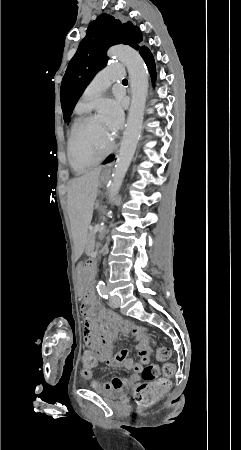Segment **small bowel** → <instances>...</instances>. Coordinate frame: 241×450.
Listing matches in <instances>:
<instances>
[{
    "mask_svg": "<svg viewBox=\"0 0 241 450\" xmlns=\"http://www.w3.org/2000/svg\"><path fill=\"white\" fill-rule=\"evenodd\" d=\"M94 301L92 298H84L81 305L83 317H85L84 343L86 347H93L94 355H97L98 362H102L109 367L123 366L133 373L128 377H113L103 383H92L94 388H102L106 391L118 390L127 386L138 384L142 379V372L148 366L151 353V336L147 327L135 324L131 321H122L119 329L110 326L107 329L105 324H97L98 318L90 316V307ZM95 325V326H94ZM129 333L135 336L137 341L136 350L138 361L134 362L129 358V349L124 348L119 353L112 356L113 344L118 333ZM82 376L89 380L92 378L90 369H83Z\"/></svg>",
    "mask_w": 241,
    "mask_h": 450,
    "instance_id": "obj_1",
    "label": "small bowel"
}]
</instances>
